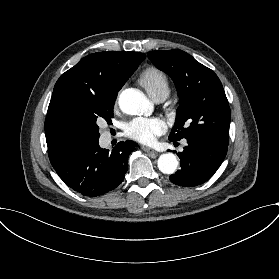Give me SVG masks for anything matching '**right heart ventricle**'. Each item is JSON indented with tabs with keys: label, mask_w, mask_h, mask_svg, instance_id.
<instances>
[{
	"label": "right heart ventricle",
	"mask_w": 279,
	"mask_h": 279,
	"mask_svg": "<svg viewBox=\"0 0 279 279\" xmlns=\"http://www.w3.org/2000/svg\"><path fill=\"white\" fill-rule=\"evenodd\" d=\"M140 82L151 97L162 89L169 90V81L166 74L155 66H149L141 72Z\"/></svg>",
	"instance_id": "obj_1"
}]
</instances>
